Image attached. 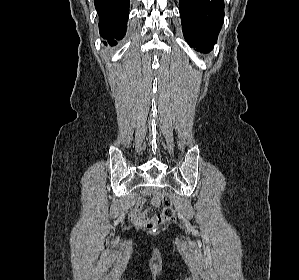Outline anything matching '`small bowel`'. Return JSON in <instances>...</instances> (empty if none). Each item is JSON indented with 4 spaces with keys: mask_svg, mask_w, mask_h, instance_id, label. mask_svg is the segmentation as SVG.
<instances>
[{
    "mask_svg": "<svg viewBox=\"0 0 299 280\" xmlns=\"http://www.w3.org/2000/svg\"><path fill=\"white\" fill-rule=\"evenodd\" d=\"M145 203V198L140 197L136 202L135 210L131 213V219L138 224H147L149 218L147 217V212L142 211V207Z\"/></svg>",
    "mask_w": 299,
    "mask_h": 280,
    "instance_id": "1",
    "label": "small bowel"
}]
</instances>
